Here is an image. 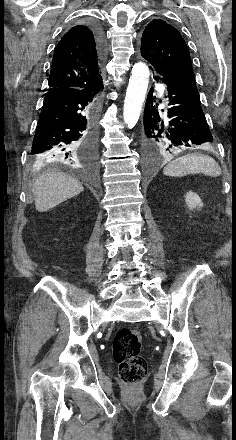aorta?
Instances as JSON below:
<instances>
[{
  "mask_svg": "<svg viewBox=\"0 0 236 440\" xmlns=\"http://www.w3.org/2000/svg\"><path fill=\"white\" fill-rule=\"evenodd\" d=\"M149 69L143 62L133 65L123 108V119L129 129H132L139 120L145 100Z\"/></svg>",
  "mask_w": 236,
  "mask_h": 440,
  "instance_id": "aorta-1",
  "label": "aorta"
}]
</instances>
